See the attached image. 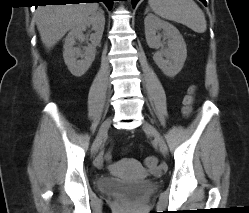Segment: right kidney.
<instances>
[{
	"label": "right kidney",
	"instance_id": "ca27d5eb",
	"mask_svg": "<svg viewBox=\"0 0 249 213\" xmlns=\"http://www.w3.org/2000/svg\"><path fill=\"white\" fill-rule=\"evenodd\" d=\"M105 25L104 13L100 11L90 15L81 23L71 29L65 38L63 58L69 71L76 77L84 75L95 59L96 47L100 44ZM92 26L94 33L90 35V44L84 52L78 47H74L76 40L84 42L86 40L83 32ZM81 57V60L77 58Z\"/></svg>",
	"mask_w": 249,
	"mask_h": 213
}]
</instances>
